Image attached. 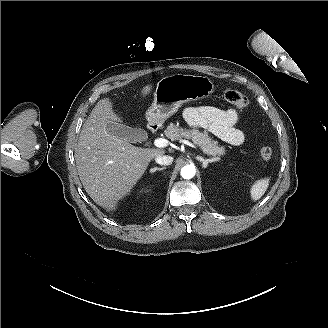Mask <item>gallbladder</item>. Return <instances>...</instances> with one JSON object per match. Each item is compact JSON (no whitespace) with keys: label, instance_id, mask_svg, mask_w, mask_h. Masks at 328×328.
<instances>
[{"label":"gallbladder","instance_id":"bac80fb5","mask_svg":"<svg viewBox=\"0 0 328 328\" xmlns=\"http://www.w3.org/2000/svg\"><path fill=\"white\" fill-rule=\"evenodd\" d=\"M105 131L108 135L124 138L131 143L143 142L148 138V134L143 128L117 125L113 122L106 124Z\"/></svg>","mask_w":328,"mask_h":328}]
</instances>
